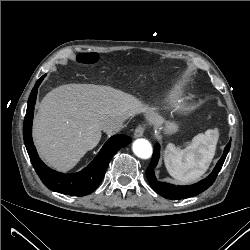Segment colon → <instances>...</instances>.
I'll list each match as a JSON object with an SVG mask.
<instances>
[{
  "label": "colon",
  "instance_id": "colon-1",
  "mask_svg": "<svg viewBox=\"0 0 250 250\" xmlns=\"http://www.w3.org/2000/svg\"><path fill=\"white\" fill-rule=\"evenodd\" d=\"M98 57L94 53H81L77 56V62L86 66L95 64Z\"/></svg>",
  "mask_w": 250,
  "mask_h": 250
}]
</instances>
